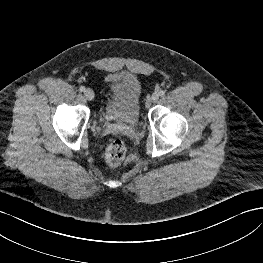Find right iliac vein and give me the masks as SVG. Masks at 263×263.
<instances>
[{"label": "right iliac vein", "instance_id": "right-iliac-vein-1", "mask_svg": "<svg viewBox=\"0 0 263 263\" xmlns=\"http://www.w3.org/2000/svg\"><path fill=\"white\" fill-rule=\"evenodd\" d=\"M84 96H85V98L87 99V100H89V101H92L93 99H94V92H93V90H91V89H86L85 91H84Z\"/></svg>", "mask_w": 263, "mask_h": 263}]
</instances>
